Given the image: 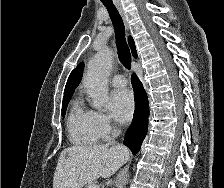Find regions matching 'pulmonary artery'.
Returning <instances> with one entry per match:
<instances>
[{"mask_svg": "<svg viewBox=\"0 0 224 188\" xmlns=\"http://www.w3.org/2000/svg\"><path fill=\"white\" fill-rule=\"evenodd\" d=\"M114 87L122 88L127 85V79L124 75H116L110 80Z\"/></svg>", "mask_w": 224, "mask_h": 188, "instance_id": "obj_1", "label": "pulmonary artery"}]
</instances>
